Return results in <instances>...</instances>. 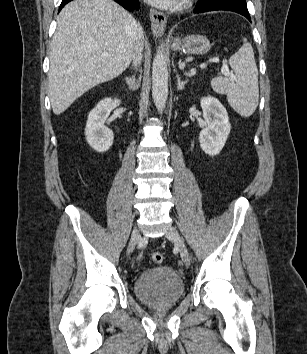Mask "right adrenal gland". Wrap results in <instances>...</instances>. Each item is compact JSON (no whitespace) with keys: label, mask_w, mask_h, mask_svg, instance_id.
Masks as SVG:
<instances>
[{"label":"right adrenal gland","mask_w":307,"mask_h":354,"mask_svg":"<svg viewBox=\"0 0 307 354\" xmlns=\"http://www.w3.org/2000/svg\"><path fill=\"white\" fill-rule=\"evenodd\" d=\"M125 80L130 90H136L140 85L141 77H139L138 80L135 79V76L126 77Z\"/></svg>","instance_id":"obj_1"}]
</instances>
